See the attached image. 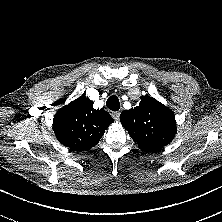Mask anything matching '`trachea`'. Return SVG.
<instances>
[{"label": "trachea", "instance_id": "3493384b", "mask_svg": "<svg viewBox=\"0 0 222 222\" xmlns=\"http://www.w3.org/2000/svg\"><path fill=\"white\" fill-rule=\"evenodd\" d=\"M106 106L112 111H118L120 108V102L118 97L116 95L110 96L106 102Z\"/></svg>", "mask_w": 222, "mask_h": 222}]
</instances>
